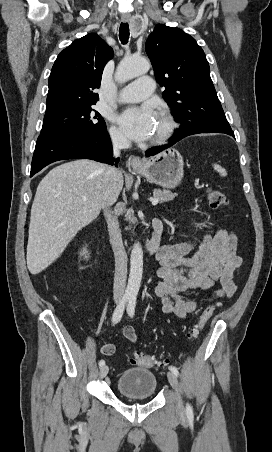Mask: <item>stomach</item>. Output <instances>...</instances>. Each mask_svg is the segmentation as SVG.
Returning a JSON list of instances; mask_svg holds the SVG:
<instances>
[{"label": "stomach", "instance_id": "stomach-1", "mask_svg": "<svg viewBox=\"0 0 272 452\" xmlns=\"http://www.w3.org/2000/svg\"><path fill=\"white\" fill-rule=\"evenodd\" d=\"M183 157L176 149H167L134 169L149 182L166 189L178 186L183 178Z\"/></svg>", "mask_w": 272, "mask_h": 452}]
</instances>
